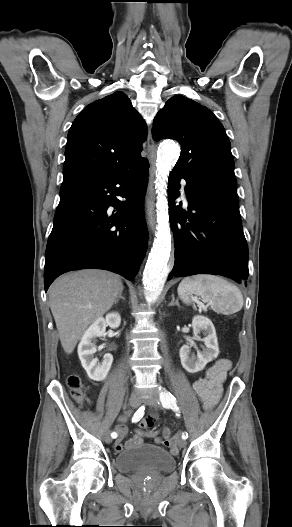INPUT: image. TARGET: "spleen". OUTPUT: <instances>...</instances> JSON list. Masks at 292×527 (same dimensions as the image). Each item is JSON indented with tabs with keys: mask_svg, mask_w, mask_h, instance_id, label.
I'll return each mask as SVG.
<instances>
[{
	"mask_svg": "<svg viewBox=\"0 0 292 527\" xmlns=\"http://www.w3.org/2000/svg\"><path fill=\"white\" fill-rule=\"evenodd\" d=\"M177 292L185 303H191L194 294L220 313H236L242 309L244 303L238 287L215 275L185 277L180 282Z\"/></svg>",
	"mask_w": 292,
	"mask_h": 527,
	"instance_id": "obj_1",
	"label": "spleen"
}]
</instances>
